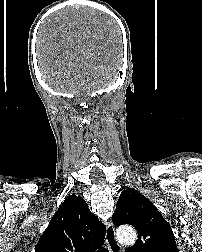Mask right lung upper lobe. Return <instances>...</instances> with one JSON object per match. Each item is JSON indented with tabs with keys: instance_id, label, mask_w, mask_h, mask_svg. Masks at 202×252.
<instances>
[{
	"instance_id": "1",
	"label": "right lung upper lobe",
	"mask_w": 202,
	"mask_h": 252,
	"mask_svg": "<svg viewBox=\"0 0 202 252\" xmlns=\"http://www.w3.org/2000/svg\"><path fill=\"white\" fill-rule=\"evenodd\" d=\"M105 238V226L82 197L68 196L41 235L35 252H95Z\"/></svg>"
}]
</instances>
